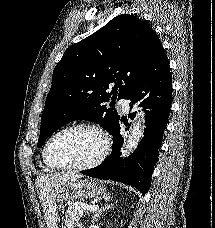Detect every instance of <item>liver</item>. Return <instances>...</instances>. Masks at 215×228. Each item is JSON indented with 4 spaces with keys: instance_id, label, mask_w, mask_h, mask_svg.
Instances as JSON below:
<instances>
[{
    "instance_id": "6515ba94",
    "label": "liver",
    "mask_w": 215,
    "mask_h": 228,
    "mask_svg": "<svg viewBox=\"0 0 215 228\" xmlns=\"http://www.w3.org/2000/svg\"><path fill=\"white\" fill-rule=\"evenodd\" d=\"M78 176L76 172H65V174H46V176H38L35 184L38 192L39 200L42 204L47 228H56L58 222V212L56 202L54 200V192L57 190L58 184L61 182H76Z\"/></svg>"
}]
</instances>
